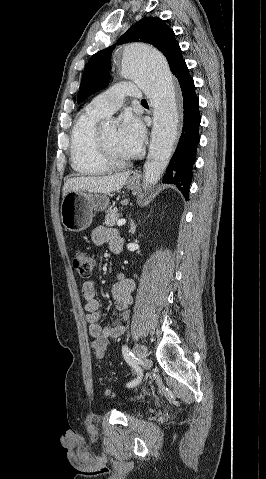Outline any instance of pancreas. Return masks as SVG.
Here are the masks:
<instances>
[{"label":"pancreas","instance_id":"cf45deb5","mask_svg":"<svg viewBox=\"0 0 266 479\" xmlns=\"http://www.w3.org/2000/svg\"><path fill=\"white\" fill-rule=\"evenodd\" d=\"M119 219V214L116 209L110 210L105 216L104 225L114 226Z\"/></svg>","mask_w":266,"mask_h":479}]
</instances>
